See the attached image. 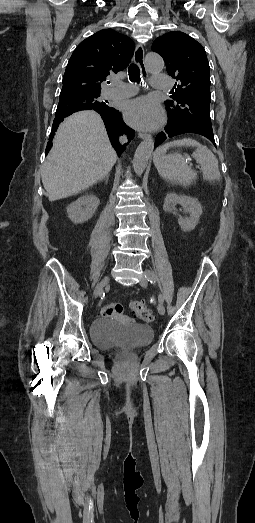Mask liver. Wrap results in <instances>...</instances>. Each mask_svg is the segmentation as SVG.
Masks as SVG:
<instances>
[{
    "label": "liver",
    "instance_id": "1",
    "mask_svg": "<svg viewBox=\"0 0 255 523\" xmlns=\"http://www.w3.org/2000/svg\"><path fill=\"white\" fill-rule=\"evenodd\" d=\"M116 160L100 114L86 110L65 118L41 168L49 202L93 186L109 174Z\"/></svg>",
    "mask_w": 255,
    "mask_h": 523
}]
</instances>
